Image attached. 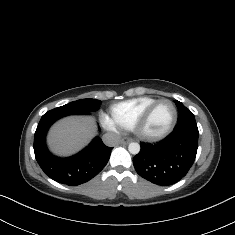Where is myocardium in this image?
I'll list each match as a JSON object with an SVG mask.
<instances>
[{
	"mask_svg": "<svg viewBox=\"0 0 235 235\" xmlns=\"http://www.w3.org/2000/svg\"><path fill=\"white\" fill-rule=\"evenodd\" d=\"M162 102H169L172 104V106L174 108L173 119H172L170 125L168 126V128L165 131H163L162 133L146 134L144 132V129L147 126V124L149 123L155 108ZM177 120H178V108H177L176 104L174 103V101H172L169 98H160V99L155 100L150 105V107L144 112V114L134 123L132 131H133L134 135L136 136V138L140 141L156 142V141H159V140L166 138L167 136H169L173 132V130L176 126Z\"/></svg>",
	"mask_w": 235,
	"mask_h": 235,
	"instance_id": "myocardium-1",
	"label": "myocardium"
}]
</instances>
